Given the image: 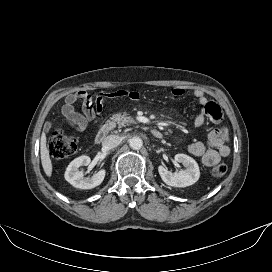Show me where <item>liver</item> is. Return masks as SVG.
Here are the masks:
<instances>
[{"instance_id":"6515ba94","label":"liver","mask_w":272,"mask_h":272,"mask_svg":"<svg viewBox=\"0 0 272 272\" xmlns=\"http://www.w3.org/2000/svg\"><path fill=\"white\" fill-rule=\"evenodd\" d=\"M40 154H41V163L42 167L44 169L45 174L48 177H51L52 175V162L49 156V150L46 146V135L45 133H42L41 140H40Z\"/></svg>"}]
</instances>
